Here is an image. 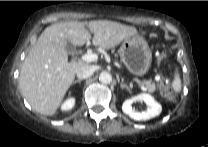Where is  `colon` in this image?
<instances>
[{"label":"colon","mask_w":208,"mask_h":147,"mask_svg":"<svg viewBox=\"0 0 208 147\" xmlns=\"http://www.w3.org/2000/svg\"><path fill=\"white\" fill-rule=\"evenodd\" d=\"M162 78H163V83L164 84L167 83V77L166 76H163Z\"/></svg>","instance_id":"1"}]
</instances>
